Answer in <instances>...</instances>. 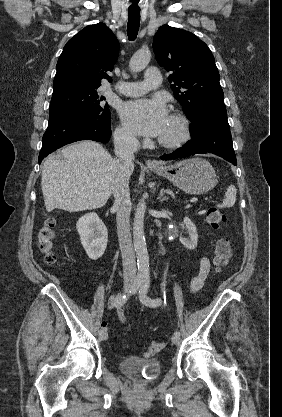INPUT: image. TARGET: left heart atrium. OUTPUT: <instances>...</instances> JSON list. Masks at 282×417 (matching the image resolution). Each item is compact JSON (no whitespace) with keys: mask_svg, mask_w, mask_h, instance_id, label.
Masks as SVG:
<instances>
[{"mask_svg":"<svg viewBox=\"0 0 282 417\" xmlns=\"http://www.w3.org/2000/svg\"><path fill=\"white\" fill-rule=\"evenodd\" d=\"M120 115L129 130L141 135H161L168 121L165 106L158 100L124 103Z\"/></svg>","mask_w":282,"mask_h":417,"instance_id":"39dd6f15","label":"left heart atrium"}]
</instances>
